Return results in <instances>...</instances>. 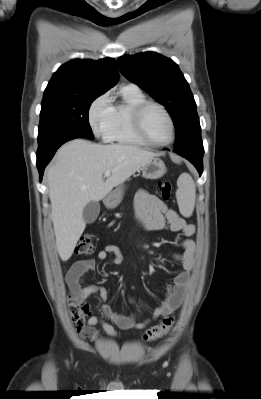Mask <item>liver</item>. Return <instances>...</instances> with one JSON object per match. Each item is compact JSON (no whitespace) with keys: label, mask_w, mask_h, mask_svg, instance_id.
Returning <instances> with one entry per match:
<instances>
[{"label":"liver","mask_w":261,"mask_h":399,"mask_svg":"<svg viewBox=\"0 0 261 399\" xmlns=\"http://www.w3.org/2000/svg\"><path fill=\"white\" fill-rule=\"evenodd\" d=\"M156 154L132 145H101L75 139L63 145L46 170L51 218L62 261L73 254L85 230L83 209L100 201ZM111 171L104 181L103 174Z\"/></svg>","instance_id":"obj_1"}]
</instances>
